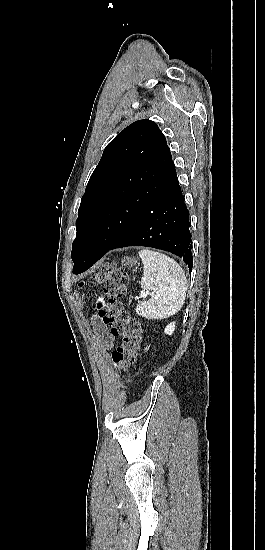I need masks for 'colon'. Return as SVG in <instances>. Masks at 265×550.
Here are the masks:
<instances>
[{"mask_svg":"<svg viewBox=\"0 0 265 550\" xmlns=\"http://www.w3.org/2000/svg\"><path fill=\"white\" fill-rule=\"evenodd\" d=\"M95 284L103 285V292L96 301L98 314L110 327L111 334L120 339L111 354L113 366L125 372L136 362L143 339L140 323L129 316L121 301L128 277L115 263H106L95 276L80 282V286Z\"/></svg>","mask_w":265,"mask_h":550,"instance_id":"colon-1","label":"colon"}]
</instances>
